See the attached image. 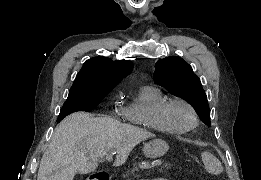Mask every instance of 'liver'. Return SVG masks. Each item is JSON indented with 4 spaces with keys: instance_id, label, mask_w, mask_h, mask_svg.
I'll return each instance as SVG.
<instances>
[{
    "instance_id": "6515ba94",
    "label": "liver",
    "mask_w": 261,
    "mask_h": 180,
    "mask_svg": "<svg viewBox=\"0 0 261 180\" xmlns=\"http://www.w3.org/2000/svg\"><path fill=\"white\" fill-rule=\"evenodd\" d=\"M154 134L114 120L74 112L67 116L52 136L40 162L37 180H74L76 174H90L98 168L99 158L116 152L114 166L125 164L133 148Z\"/></svg>"
}]
</instances>
